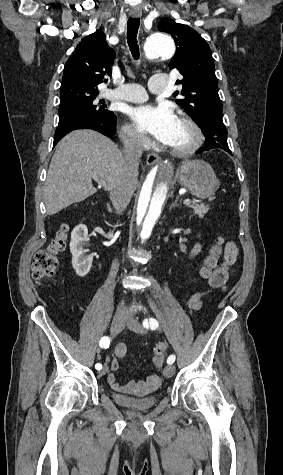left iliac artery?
Returning <instances> with one entry per match:
<instances>
[{
    "mask_svg": "<svg viewBox=\"0 0 283 475\" xmlns=\"http://www.w3.org/2000/svg\"><path fill=\"white\" fill-rule=\"evenodd\" d=\"M143 326L146 328L156 329L158 327V321L154 318H150L149 320L144 319ZM175 361V355H170L167 359L168 364H173Z\"/></svg>",
    "mask_w": 283,
    "mask_h": 475,
    "instance_id": "obj_1",
    "label": "left iliac artery"
}]
</instances>
